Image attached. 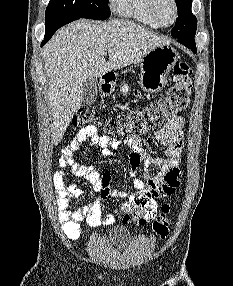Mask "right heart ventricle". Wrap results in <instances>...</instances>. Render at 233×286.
Instances as JSON below:
<instances>
[{"label": "right heart ventricle", "mask_w": 233, "mask_h": 286, "mask_svg": "<svg viewBox=\"0 0 233 286\" xmlns=\"http://www.w3.org/2000/svg\"><path fill=\"white\" fill-rule=\"evenodd\" d=\"M114 12L151 28L160 27L149 12L148 0H110Z\"/></svg>", "instance_id": "right-heart-ventricle-1"}]
</instances>
